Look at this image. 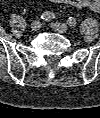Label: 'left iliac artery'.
Returning a JSON list of instances; mask_svg holds the SVG:
<instances>
[{
	"label": "left iliac artery",
	"mask_w": 100,
	"mask_h": 118,
	"mask_svg": "<svg viewBox=\"0 0 100 118\" xmlns=\"http://www.w3.org/2000/svg\"><path fill=\"white\" fill-rule=\"evenodd\" d=\"M67 24H68L69 26H75V25L77 24V21H76L75 18L69 17L68 20H67Z\"/></svg>",
	"instance_id": "obj_1"
}]
</instances>
